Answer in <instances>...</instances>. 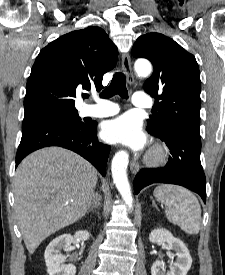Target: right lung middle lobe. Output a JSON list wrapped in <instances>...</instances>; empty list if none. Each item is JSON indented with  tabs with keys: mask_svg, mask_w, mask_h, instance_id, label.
Listing matches in <instances>:
<instances>
[{
	"mask_svg": "<svg viewBox=\"0 0 225 275\" xmlns=\"http://www.w3.org/2000/svg\"><path fill=\"white\" fill-rule=\"evenodd\" d=\"M32 117H50V118L60 120L72 126H76V127L84 126V124L81 121V118L78 116L77 110L50 111V112H45L34 116L24 117V119L32 118Z\"/></svg>",
	"mask_w": 225,
	"mask_h": 275,
	"instance_id": "1",
	"label": "right lung middle lobe"
}]
</instances>
